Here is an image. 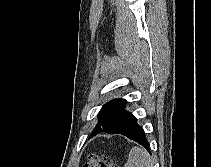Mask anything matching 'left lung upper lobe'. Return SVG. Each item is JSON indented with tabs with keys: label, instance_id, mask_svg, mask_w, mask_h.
<instances>
[{
	"label": "left lung upper lobe",
	"instance_id": "obj_1",
	"mask_svg": "<svg viewBox=\"0 0 211 167\" xmlns=\"http://www.w3.org/2000/svg\"><path fill=\"white\" fill-rule=\"evenodd\" d=\"M125 99H114L101 108L98 113L99 122L95 128L109 124L125 109Z\"/></svg>",
	"mask_w": 211,
	"mask_h": 167
}]
</instances>
